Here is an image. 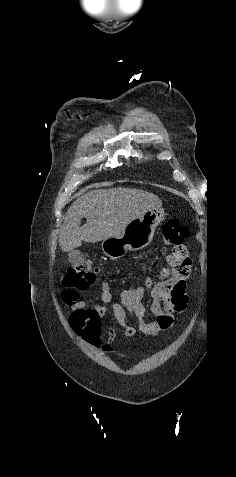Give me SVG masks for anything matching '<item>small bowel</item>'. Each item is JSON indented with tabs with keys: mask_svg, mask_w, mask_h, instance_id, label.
Listing matches in <instances>:
<instances>
[{
	"mask_svg": "<svg viewBox=\"0 0 236 477\" xmlns=\"http://www.w3.org/2000/svg\"><path fill=\"white\" fill-rule=\"evenodd\" d=\"M190 269L191 261L187 257L179 267V271L183 272L182 275L158 283L151 277H146L142 286L123 289L119 294L120 302L112 301L111 286L106 280L100 285L101 305H90L74 300L71 293L65 291L62 300L71 310L68 319L71 331L104 353H111L114 332L110 331L104 340L101 338V320L107 314L106 305L110 304V313L114 321L128 338L136 334V328L145 336H157L167 332L172 328L175 316L182 314L187 307L186 278ZM166 286L169 289H166ZM145 289L150 291L152 298L149 307L143 303ZM148 315L154 317V320L148 321L146 319ZM130 317L135 319L136 325L129 322Z\"/></svg>",
	"mask_w": 236,
	"mask_h": 477,
	"instance_id": "obj_1",
	"label": "small bowel"
}]
</instances>
